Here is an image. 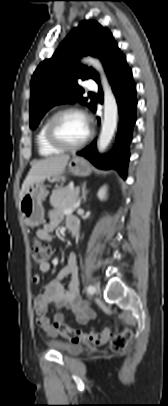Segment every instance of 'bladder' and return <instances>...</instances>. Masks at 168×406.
Returning a JSON list of instances; mask_svg holds the SVG:
<instances>
[{
    "mask_svg": "<svg viewBox=\"0 0 168 406\" xmlns=\"http://www.w3.org/2000/svg\"><path fill=\"white\" fill-rule=\"evenodd\" d=\"M58 350L65 356H76L83 352V347L75 344H67L60 346Z\"/></svg>",
    "mask_w": 168,
    "mask_h": 406,
    "instance_id": "1",
    "label": "bladder"
}]
</instances>
